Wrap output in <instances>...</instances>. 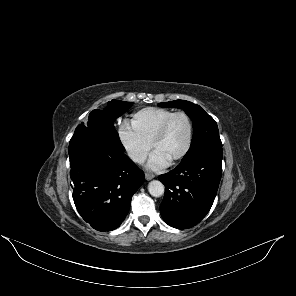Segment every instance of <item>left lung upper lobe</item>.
<instances>
[{"mask_svg":"<svg viewBox=\"0 0 296 296\" xmlns=\"http://www.w3.org/2000/svg\"><path fill=\"white\" fill-rule=\"evenodd\" d=\"M161 107L182 108L193 122L191 146L182 161L209 149L222 148L216 121L199 105L185 100H175L158 104Z\"/></svg>","mask_w":296,"mask_h":296,"instance_id":"obj_1","label":"left lung upper lobe"}]
</instances>
